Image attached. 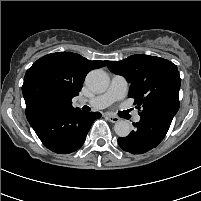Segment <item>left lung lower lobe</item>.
<instances>
[{"instance_id":"1","label":"left lung lower lobe","mask_w":201,"mask_h":201,"mask_svg":"<svg viewBox=\"0 0 201 201\" xmlns=\"http://www.w3.org/2000/svg\"><path fill=\"white\" fill-rule=\"evenodd\" d=\"M172 119L164 116L141 117L134 123L135 130L127 137L118 138L119 146L132 154H143L155 148L165 137Z\"/></svg>"}]
</instances>
